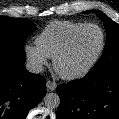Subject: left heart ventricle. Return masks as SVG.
<instances>
[{"instance_id": "1", "label": "left heart ventricle", "mask_w": 119, "mask_h": 119, "mask_svg": "<svg viewBox=\"0 0 119 119\" xmlns=\"http://www.w3.org/2000/svg\"><path fill=\"white\" fill-rule=\"evenodd\" d=\"M100 45V31L93 27L86 29L76 38L70 51L61 59L60 71L71 73L82 69L93 59Z\"/></svg>"}]
</instances>
